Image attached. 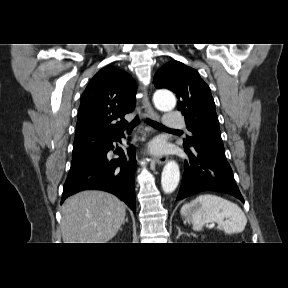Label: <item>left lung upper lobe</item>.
Instances as JSON below:
<instances>
[{
	"instance_id": "obj_1",
	"label": "left lung upper lobe",
	"mask_w": 288,
	"mask_h": 288,
	"mask_svg": "<svg viewBox=\"0 0 288 288\" xmlns=\"http://www.w3.org/2000/svg\"><path fill=\"white\" fill-rule=\"evenodd\" d=\"M154 84L156 88H167L177 95L178 110L182 111L187 129L192 132V136L184 140V147L202 146L225 157L215 103L199 73L172 60L156 72Z\"/></svg>"
}]
</instances>
